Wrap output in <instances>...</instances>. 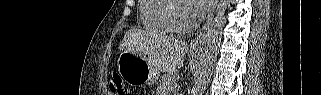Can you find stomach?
Instances as JSON below:
<instances>
[{"label":"stomach","mask_w":321,"mask_h":95,"mask_svg":"<svg viewBox=\"0 0 321 95\" xmlns=\"http://www.w3.org/2000/svg\"><path fill=\"white\" fill-rule=\"evenodd\" d=\"M118 72L131 85L152 84L159 78V70L139 55L127 51L119 55Z\"/></svg>","instance_id":"obj_1"}]
</instances>
